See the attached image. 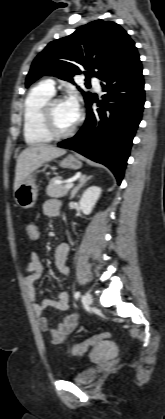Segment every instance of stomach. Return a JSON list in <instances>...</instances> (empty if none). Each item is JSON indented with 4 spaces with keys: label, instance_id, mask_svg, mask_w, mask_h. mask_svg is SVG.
<instances>
[{
    "label": "stomach",
    "instance_id": "1",
    "mask_svg": "<svg viewBox=\"0 0 165 419\" xmlns=\"http://www.w3.org/2000/svg\"><path fill=\"white\" fill-rule=\"evenodd\" d=\"M62 168L77 170L81 168V161L73 155H68L59 162ZM38 196V187L36 185V174H30L18 188L14 190V199L16 203L24 209L35 205Z\"/></svg>",
    "mask_w": 165,
    "mask_h": 419
}]
</instances>
